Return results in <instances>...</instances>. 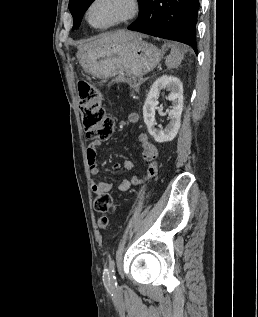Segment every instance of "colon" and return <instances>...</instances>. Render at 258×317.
I'll return each mask as SVG.
<instances>
[{
    "instance_id": "obj_1",
    "label": "colon",
    "mask_w": 258,
    "mask_h": 317,
    "mask_svg": "<svg viewBox=\"0 0 258 317\" xmlns=\"http://www.w3.org/2000/svg\"><path fill=\"white\" fill-rule=\"evenodd\" d=\"M78 95L82 125L87 137L98 140L108 139L113 134L114 121L102 106L99 92L88 82L80 81ZM94 209L103 214L98 220L99 226L103 229L107 228L109 221L105 214L115 210L111 195L109 193L97 194L94 199Z\"/></svg>"
}]
</instances>
